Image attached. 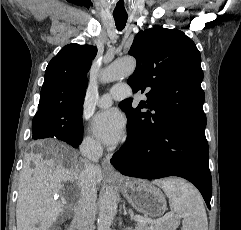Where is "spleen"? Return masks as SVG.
<instances>
[{"label":"spleen","mask_w":241,"mask_h":230,"mask_svg":"<svg viewBox=\"0 0 241 230\" xmlns=\"http://www.w3.org/2000/svg\"><path fill=\"white\" fill-rule=\"evenodd\" d=\"M153 183L163 189L171 210L182 218V230H208L203 199L193 185L178 178H167Z\"/></svg>","instance_id":"spleen-1"}]
</instances>
